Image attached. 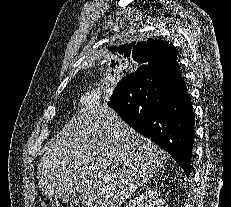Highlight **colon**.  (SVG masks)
Instances as JSON below:
<instances>
[{
  "label": "colon",
  "instance_id": "1",
  "mask_svg": "<svg viewBox=\"0 0 231 207\" xmlns=\"http://www.w3.org/2000/svg\"><path fill=\"white\" fill-rule=\"evenodd\" d=\"M34 207H79L63 199H40L35 203Z\"/></svg>",
  "mask_w": 231,
  "mask_h": 207
}]
</instances>
